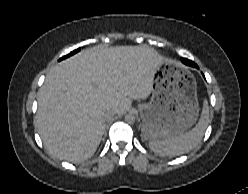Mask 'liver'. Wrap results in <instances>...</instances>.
I'll list each match as a JSON object with an SVG mask.
<instances>
[{
	"mask_svg": "<svg viewBox=\"0 0 248 194\" xmlns=\"http://www.w3.org/2000/svg\"><path fill=\"white\" fill-rule=\"evenodd\" d=\"M164 59L147 45L92 47L52 67L34 119L45 149L74 163L90 158L105 131L106 114L147 98Z\"/></svg>",
	"mask_w": 248,
	"mask_h": 194,
	"instance_id": "6515ba94",
	"label": "liver"
}]
</instances>
